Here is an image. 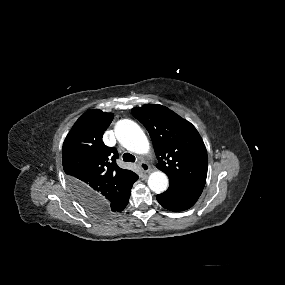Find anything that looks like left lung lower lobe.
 <instances>
[{"mask_svg": "<svg viewBox=\"0 0 285 285\" xmlns=\"http://www.w3.org/2000/svg\"><path fill=\"white\" fill-rule=\"evenodd\" d=\"M202 193L201 189L170 182L166 192L157 195L160 205L171 211H184L191 208Z\"/></svg>", "mask_w": 285, "mask_h": 285, "instance_id": "1", "label": "left lung lower lobe"}]
</instances>
